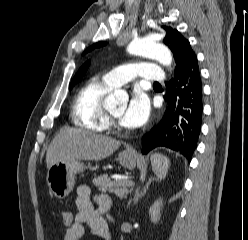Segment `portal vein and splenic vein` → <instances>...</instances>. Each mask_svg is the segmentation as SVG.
Wrapping results in <instances>:
<instances>
[{
  "label": "portal vein and splenic vein",
  "instance_id": "portal-vein-and-splenic-vein-1",
  "mask_svg": "<svg viewBox=\"0 0 248 240\" xmlns=\"http://www.w3.org/2000/svg\"><path fill=\"white\" fill-rule=\"evenodd\" d=\"M127 186H132L134 183L132 181H123Z\"/></svg>",
  "mask_w": 248,
  "mask_h": 240
}]
</instances>
